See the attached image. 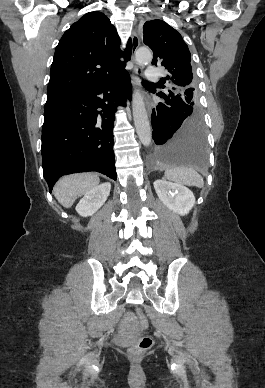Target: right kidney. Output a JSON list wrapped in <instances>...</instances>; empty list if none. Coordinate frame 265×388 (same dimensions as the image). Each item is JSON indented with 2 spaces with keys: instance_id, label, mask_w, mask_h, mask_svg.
Returning <instances> with one entry per match:
<instances>
[{
  "instance_id": "right-kidney-1",
  "label": "right kidney",
  "mask_w": 265,
  "mask_h": 388,
  "mask_svg": "<svg viewBox=\"0 0 265 388\" xmlns=\"http://www.w3.org/2000/svg\"><path fill=\"white\" fill-rule=\"evenodd\" d=\"M111 190V184L109 182H105V184H100V186H96L90 192H86L84 198H81L79 204L76 206V212H78L79 216H93L101 206H103L104 202H106Z\"/></svg>"
}]
</instances>
